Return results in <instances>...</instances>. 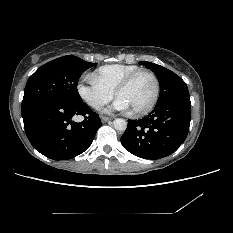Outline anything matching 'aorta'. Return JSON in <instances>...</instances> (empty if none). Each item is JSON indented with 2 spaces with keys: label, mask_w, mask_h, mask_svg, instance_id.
<instances>
[{
  "label": "aorta",
  "mask_w": 233,
  "mask_h": 233,
  "mask_svg": "<svg viewBox=\"0 0 233 233\" xmlns=\"http://www.w3.org/2000/svg\"><path fill=\"white\" fill-rule=\"evenodd\" d=\"M113 126L116 130L125 131L127 128V122L124 119L117 118L114 120Z\"/></svg>",
  "instance_id": "aorta-1"
}]
</instances>
